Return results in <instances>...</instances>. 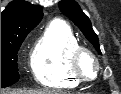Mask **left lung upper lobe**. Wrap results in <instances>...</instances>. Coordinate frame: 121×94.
<instances>
[{"label": "left lung upper lobe", "instance_id": "5c2ea615", "mask_svg": "<svg viewBox=\"0 0 121 94\" xmlns=\"http://www.w3.org/2000/svg\"><path fill=\"white\" fill-rule=\"evenodd\" d=\"M59 8L64 15L68 16L80 28L85 37L100 52L98 37L92 29L89 18L82 12L80 6L73 0H62L59 2Z\"/></svg>", "mask_w": 121, "mask_h": 94}]
</instances>
